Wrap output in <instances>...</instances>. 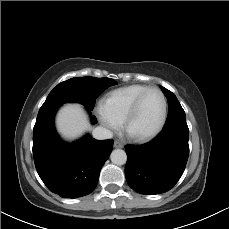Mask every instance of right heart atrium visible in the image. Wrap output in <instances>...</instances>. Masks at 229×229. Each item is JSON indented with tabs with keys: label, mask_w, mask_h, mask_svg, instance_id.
Returning <instances> with one entry per match:
<instances>
[{
	"label": "right heart atrium",
	"mask_w": 229,
	"mask_h": 229,
	"mask_svg": "<svg viewBox=\"0 0 229 229\" xmlns=\"http://www.w3.org/2000/svg\"><path fill=\"white\" fill-rule=\"evenodd\" d=\"M97 112L98 115L100 117V120L102 122V124L109 130L112 132L118 131L119 127H120V123L118 121H116L115 119H113L104 109L103 104H99L97 106Z\"/></svg>",
	"instance_id": "1"
}]
</instances>
